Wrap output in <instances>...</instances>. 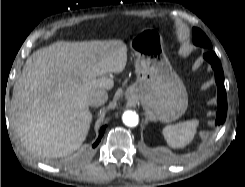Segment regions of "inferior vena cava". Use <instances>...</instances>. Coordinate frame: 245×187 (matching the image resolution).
Wrapping results in <instances>:
<instances>
[{"instance_id": "inferior-vena-cava-1", "label": "inferior vena cava", "mask_w": 245, "mask_h": 187, "mask_svg": "<svg viewBox=\"0 0 245 187\" xmlns=\"http://www.w3.org/2000/svg\"><path fill=\"white\" fill-rule=\"evenodd\" d=\"M108 100V94L106 90L100 89L92 92L88 97V104L91 107H99L106 103Z\"/></svg>"}]
</instances>
